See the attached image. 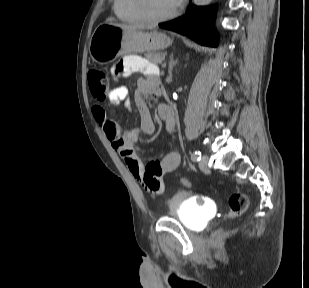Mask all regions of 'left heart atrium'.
Returning <instances> with one entry per match:
<instances>
[{
	"label": "left heart atrium",
	"instance_id": "39dd6f15",
	"mask_svg": "<svg viewBox=\"0 0 309 288\" xmlns=\"http://www.w3.org/2000/svg\"><path fill=\"white\" fill-rule=\"evenodd\" d=\"M174 1H175L176 5L178 6L182 3L183 0H174Z\"/></svg>",
	"mask_w": 309,
	"mask_h": 288
}]
</instances>
